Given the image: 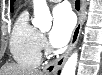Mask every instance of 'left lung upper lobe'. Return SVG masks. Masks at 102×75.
<instances>
[{"instance_id": "5c2ea615", "label": "left lung upper lobe", "mask_w": 102, "mask_h": 75, "mask_svg": "<svg viewBox=\"0 0 102 75\" xmlns=\"http://www.w3.org/2000/svg\"><path fill=\"white\" fill-rule=\"evenodd\" d=\"M15 0H11V4H13ZM11 11H13V7L11 6Z\"/></svg>"}]
</instances>
